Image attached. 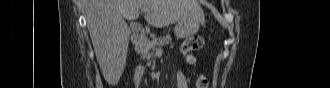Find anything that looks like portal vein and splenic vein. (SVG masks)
I'll return each instance as SVG.
<instances>
[{
	"label": "portal vein and splenic vein",
	"mask_w": 330,
	"mask_h": 88,
	"mask_svg": "<svg viewBox=\"0 0 330 88\" xmlns=\"http://www.w3.org/2000/svg\"><path fill=\"white\" fill-rule=\"evenodd\" d=\"M142 11H143V12H146V11H147V9H145V8H144ZM158 50H160V49H158Z\"/></svg>",
	"instance_id": "portal-vein-and-splenic-vein-1"
}]
</instances>
